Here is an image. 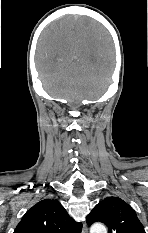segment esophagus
<instances>
[{
  "mask_svg": "<svg viewBox=\"0 0 148 233\" xmlns=\"http://www.w3.org/2000/svg\"><path fill=\"white\" fill-rule=\"evenodd\" d=\"M82 233H88V228L86 224L83 225Z\"/></svg>",
  "mask_w": 148,
  "mask_h": 233,
  "instance_id": "1",
  "label": "esophagus"
}]
</instances>
